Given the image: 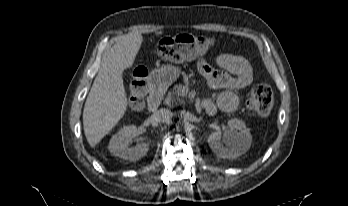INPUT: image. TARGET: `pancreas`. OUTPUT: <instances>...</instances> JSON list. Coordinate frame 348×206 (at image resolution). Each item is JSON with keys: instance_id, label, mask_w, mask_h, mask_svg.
I'll use <instances>...</instances> for the list:
<instances>
[{"instance_id": "1", "label": "pancreas", "mask_w": 348, "mask_h": 206, "mask_svg": "<svg viewBox=\"0 0 348 206\" xmlns=\"http://www.w3.org/2000/svg\"><path fill=\"white\" fill-rule=\"evenodd\" d=\"M183 89V85H175L171 91L168 92L167 97L165 98L164 104L174 107L182 103L181 100V91Z\"/></svg>"}]
</instances>
